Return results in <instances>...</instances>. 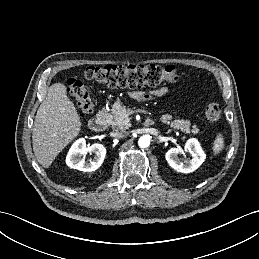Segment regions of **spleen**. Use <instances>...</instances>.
<instances>
[{"instance_id": "1", "label": "spleen", "mask_w": 259, "mask_h": 259, "mask_svg": "<svg viewBox=\"0 0 259 259\" xmlns=\"http://www.w3.org/2000/svg\"><path fill=\"white\" fill-rule=\"evenodd\" d=\"M223 148H224V138H223V135L219 133L213 142L212 149L215 154H218L220 153L221 150H223Z\"/></svg>"}]
</instances>
